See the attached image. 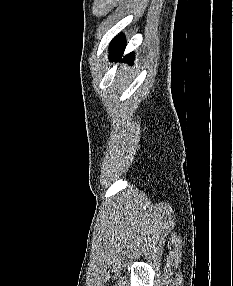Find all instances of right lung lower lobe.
<instances>
[{"label": "right lung lower lobe", "instance_id": "1", "mask_svg": "<svg viewBox=\"0 0 233 286\" xmlns=\"http://www.w3.org/2000/svg\"><path fill=\"white\" fill-rule=\"evenodd\" d=\"M125 39L122 34L118 35L111 43V51H110V60H119L125 49ZM133 53H130L125 56V62L129 64L133 63Z\"/></svg>", "mask_w": 233, "mask_h": 286}]
</instances>
